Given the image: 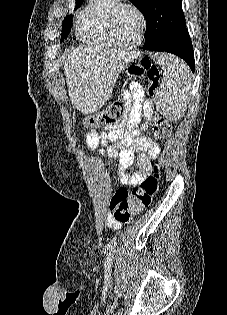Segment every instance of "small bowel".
<instances>
[{
	"label": "small bowel",
	"instance_id": "small-bowel-1",
	"mask_svg": "<svg viewBox=\"0 0 227 315\" xmlns=\"http://www.w3.org/2000/svg\"><path fill=\"white\" fill-rule=\"evenodd\" d=\"M130 91L133 98L132 115L126 126L110 127L102 133L89 132L85 137V143L91 153L99 151L102 155H107L111 159L110 164L116 161L121 184L136 186L150 175L151 161L159 157L161 149L150 138L139 136L141 131L146 129L145 124L139 125L141 111L151 109V105L145 101L143 90L137 83L130 84ZM123 95L128 97L129 92L125 91ZM109 142L113 144L109 145ZM135 161L138 163L139 170L127 173V168ZM107 224L114 230L122 226L113 214H109Z\"/></svg>",
	"mask_w": 227,
	"mask_h": 315
}]
</instances>
